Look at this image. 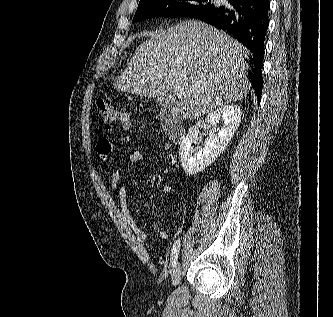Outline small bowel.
Instances as JSON below:
<instances>
[{
	"label": "small bowel",
	"mask_w": 333,
	"mask_h": 317,
	"mask_svg": "<svg viewBox=\"0 0 333 317\" xmlns=\"http://www.w3.org/2000/svg\"><path fill=\"white\" fill-rule=\"evenodd\" d=\"M120 141L122 143H129L130 142V137L129 136H123L121 137ZM96 150L98 155L103 159L107 160L110 154L114 150V146L112 142L106 138V137H101L97 141L96 145ZM151 158L149 155H147L144 152L141 151H134L130 153L127 157V163L129 165H133L138 162H147L150 161ZM120 172L117 169H113L111 173V179H110V189L112 191H117L121 209L123 216L125 218V221L128 223L134 234L139 238V239H146L147 234L138 226L136 221L134 220L131 209H130V203L128 200V195L125 187L121 184L120 182ZM163 193L165 195H172L174 193V188L170 184H165L162 188ZM160 239H166L168 237V232L167 230H161L158 234Z\"/></svg>",
	"instance_id": "obj_1"
}]
</instances>
